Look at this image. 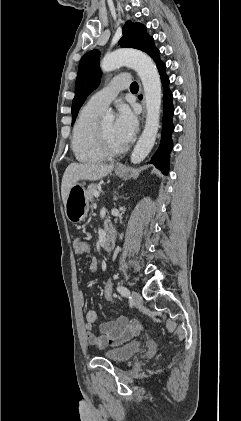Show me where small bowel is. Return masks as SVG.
Here are the masks:
<instances>
[{"mask_svg": "<svg viewBox=\"0 0 241 421\" xmlns=\"http://www.w3.org/2000/svg\"><path fill=\"white\" fill-rule=\"evenodd\" d=\"M79 239L74 241V249ZM98 268V261L92 258L89 264V271L95 272ZM79 300L84 302L83 292L79 293ZM97 320V313L94 310H88L85 314V328L88 331V342L98 349H104L108 346L120 345L134 337L141 329V324L137 320H129L125 316H118L114 321L106 322L100 325L98 333L92 331L93 325Z\"/></svg>", "mask_w": 241, "mask_h": 421, "instance_id": "obj_1", "label": "small bowel"}]
</instances>
